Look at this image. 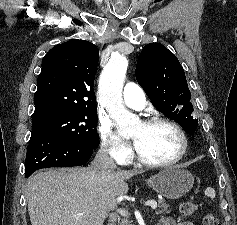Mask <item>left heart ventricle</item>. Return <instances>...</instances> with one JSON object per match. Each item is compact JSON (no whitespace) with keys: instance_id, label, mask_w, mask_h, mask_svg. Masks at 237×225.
Here are the masks:
<instances>
[{"instance_id":"left-heart-ventricle-1","label":"left heart ventricle","mask_w":237,"mask_h":225,"mask_svg":"<svg viewBox=\"0 0 237 225\" xmlns=\"http://www.w3.org/2000/svg\"><path fill=\"white\" fill-rule=\"evenodd\" d=\"M138 153L149 161H166L174 158L181 148L178 134L169 126L146 127L139 124L130 134Z\"/></svg>"}]
</instances>
